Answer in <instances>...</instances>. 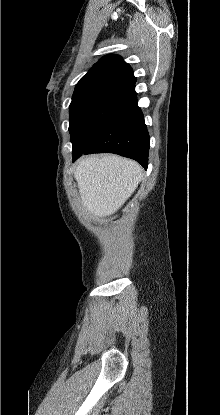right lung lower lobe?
<instances>
[{
	"mask_svg": "<svg viewBox=\"0 0 220 415\" xmlns=\"http://www.w3.org/2000/svg\"><path fill=\"white\" fill-rule=\"evenodd\" d=\"M149 146L144 117L134 96L110 117L86 148L72 151L73 161L83 153H115L134 159L147 169Z\"/></svg>",
	"mask_w": 220,
	"mask_h": 415,
	"instance_id": "obj_1",
	"label": "right lung lower lobe"
}]
</instances>
